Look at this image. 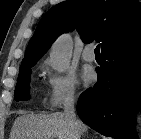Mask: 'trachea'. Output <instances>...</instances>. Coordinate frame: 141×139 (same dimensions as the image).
<instances>
[{"mask_svg": "<svg viewBox=\"0 0 141 139\" xmlns=\"http://www.w3.org/2000/svg\"><path fill=\"white\" fill-rule=\"evenodd\" d=\"M95 54H100V44H98L95 48Z\"/></svg>", "mask_w": 141, "mask_h": 139, "instance_id": "trachea-1", "label": "trachea"}]
</instances>
